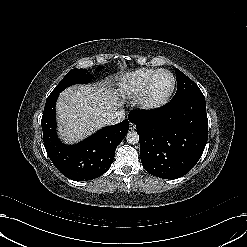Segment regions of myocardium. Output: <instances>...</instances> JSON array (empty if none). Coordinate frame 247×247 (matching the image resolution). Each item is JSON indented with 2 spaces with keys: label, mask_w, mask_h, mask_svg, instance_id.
<instances>
[{
  "label": "myocardium",
  "mask_w": 247,
  "mask_h": 247,
  "mask_svg": "<svg viewBox=\"0 0 247 247\" xmlns=\"http://www.w3.org/2000/svg\"><path fill=\"white\" fill-rule=\"evenodd\" d=\"M161 73H166L170 76L172 81L171 87L163 95H154L152 91V86L157 76ZM175 86H176V79L174 75L167 69H159L149 79L141 94L136 98L135 104L142 111H150L159 108L165 103H167L168 100L171 98L175 90Z\"/></svg>",
  "instance_id": "myocardium-1"
}]
</instances>
